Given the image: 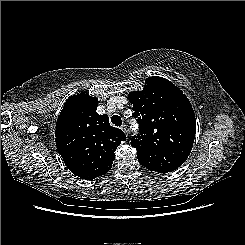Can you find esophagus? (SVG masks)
Listing matches in <instances>:
<instances>
[{
    "label": "esophagus",
    "mask_w": 245,
    "mask_h": 245,
    "mask_svg": "<svg viewBox=\"0 0 245 245\" xmlns=\"http://www.w3.org/2000/svg\"><path fill=\"white\" fill-rule=\"evenodd\" d=\"M121 129H122V131H123L126 135H128V129H127V126H126L125 124H123V125L121 126Z\"/></svg>",
    "instance_id": "esophagus-1"
}]
</instances>
